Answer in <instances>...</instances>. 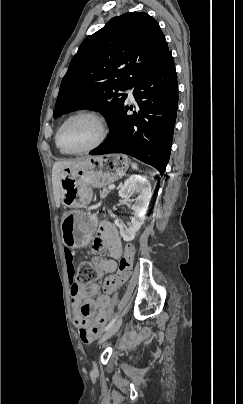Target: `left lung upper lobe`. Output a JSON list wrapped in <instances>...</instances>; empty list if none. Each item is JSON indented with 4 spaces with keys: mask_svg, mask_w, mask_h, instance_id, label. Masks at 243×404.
<instances>
[{
    "mask_svg": "<svg viewBox=\"0 0 243 404\" xmlns=\"http://www.w3.org/2000/svg\"><path fill=\"white\" fill-rule=\"evenodd\" d=\"M158 22L146 13L112 18L88 36L72 58L61 82L54 116L91 109L114 123L135 83L169 53Z\"/></svg>",
    "mask_w": 243,
    "mask_h": 404,
    "instance_id": "obj_1",
    "label": "left lung upper lobe"
}]
</instances>
